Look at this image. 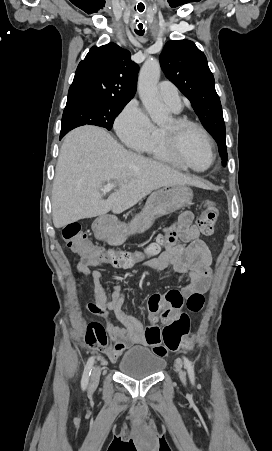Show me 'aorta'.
<instances>
[{
    "instance_id": "aorta-1",
    "label": "aorta",
    "mask_w": 272,
    "mask_h": 451,
    "mask_svg": "<svg viewBox=\"0 0 272 451\" xmlns=\"http://www.w3.org/2000/svg\"><path fill=\"white\" fill-rule=\"evenodd\" d=\"M160 72L159 60L147 58L140 70L138 80L140 100L144 108H146L152 122H155V124H164L168 120V116L164 112L165 104H163L158 96L157 84L159 82Z\"/></svg>"
}]
</instances>
